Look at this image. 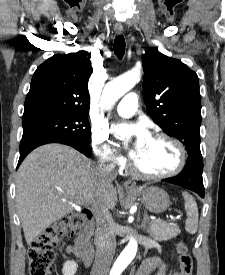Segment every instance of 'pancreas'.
Returning <instances> with one entry per match:
<instances>
[{"label": "pancreas", "instance_id": "cf45deb5", "mask_svg": "<svg viewBox=\"0 0 225 275\" xmlns=\"http://www.w3.org/2000/svg\"><path fill=\"white\" fill-rule=\"evenodd\" d=\"M180 229L176 224L168 223L162 220H151L149 223L148 233L156 241H167L180 234Z\"/></svg>", "mask_w": 225, "mask_h": 275}]
</instances>
